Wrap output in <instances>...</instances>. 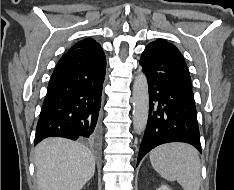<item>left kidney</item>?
<instances>
[{
	"label": "left kidney",
	"instance_id": "1",
	"mask_svg": "<svg viewBox=\"0 0 234 190\" xmlns=\"http://www.w3.org/2000/svg\"><path fill=\"white\" fill-rule=\"evenodd\" d=\"M157 190H172L167 185H161Z\"/></svg>",
	"mask_w": 234,
	"mask_h": 190
}]
</instances>
